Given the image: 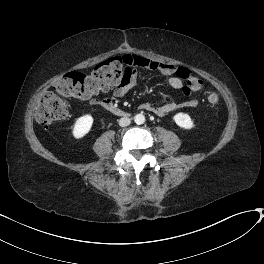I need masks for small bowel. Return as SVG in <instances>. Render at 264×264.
<instances>
[{"instance_id":"c3829d8e","label":"small bowel","mask_w":264,"mask_h":264,"mask_svg":"<svg viewBox=\"0 0 264 264\" xmlns=\"http://www.w3.org/2000/svg\"><path fill=\"white\" fill-rule=\"evenodd\" d=\"M131 64L125 70L119 84L114 90V95L116 97L125 96L130 90H132L138 81L137 71L140 69H146L149 71L159 72L166 76L167 83L170 88L174 91L180 90L184 86V80L182 74L186 73V69L182 66H173L170 64H165L158 62L156 60L130 55ZM91 104H97L98 101L92 98H88ZM197 99L189 98L184 103V106L188 108H194L197 106ZM139 108L141 110L155 113L158 116H167L176 110V104L166 103L162 105H154L150 102H144L140 104Z\"/></svg>"}]
</instances>
